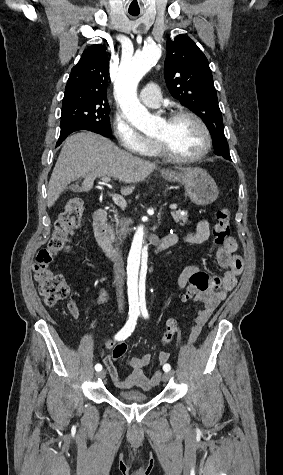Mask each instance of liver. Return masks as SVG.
<instances>
[{"label": "liver", "instance_id": "6515ba94", "mask_svg": "<svg viewBox=\"0 0 283 475\" xmlns=\"http://www.w3.org/2000/svg\"><path fill=\"white\" fill-rule=\"evenodd\" d=\"M156 164L136 158L120 150L114 142L93 132H80L67 138L51 174L47 190V206L51 208L70 182L85 178L80 190H92L94 180L112 176L125 184H137L148 178ZM185 170V168H178ZM135 186L122 188L121 194H132Z\"/></svg>", "mask_w": 283, "mask_h": 475}]
</instances>
